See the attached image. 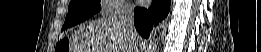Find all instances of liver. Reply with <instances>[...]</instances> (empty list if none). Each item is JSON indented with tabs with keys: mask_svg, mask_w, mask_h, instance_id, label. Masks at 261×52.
<instances>
[{
	"mask_svg": "<svg viewBox=\"0 0 261 52\" xmlns=\"http://www.w3.org/2000/svg\"><path fill=\"white\" fill-rule=\"evenodd\" d=\"M74 52H134L135 42L124 32L118 17H103L80 26L72 37ZM137 43V40H136Z\"/></svg>",
	"mask_w": 261,
	"mask_h": 52,
	"instance_id": "obj_1",
	"label": "liver"
}]
</instances>
